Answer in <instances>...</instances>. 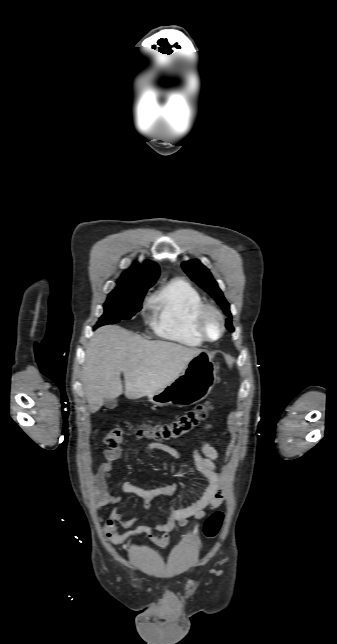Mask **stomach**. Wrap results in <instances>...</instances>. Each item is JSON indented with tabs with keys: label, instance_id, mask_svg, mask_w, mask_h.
Wrapping results in <instances>:
<instances>
[{
	"label": "stomach",
	"instance_id": "obj_1",
	"mask_svg": "<svg viewBox=\"0 0 337 644\" xmlns=\"http://www.w3.org/2000/svg\"><path fill=\"white\" fill-rule=\"evenodd\" d=\"M216 381V369L211 355L201 351L187 364L182 374L163 389L148 395L156 406L185 407L204 400Z\"/></svg>",
	"mask_w": 337,
	"mask_h": 644
}]
</instances>
